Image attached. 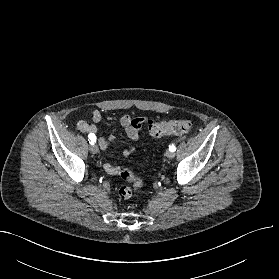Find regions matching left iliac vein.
<instances>
[{
	"instance_id": "4c4485c4",
	"label": "left iliac vein",
	"mask_w": 279,
	"mask_h": 279,
	"mask_svg": "<svg viewBox=\"0 0 279 279\" xmlns=\"http://www.w3.org/2000/svg\"><path fill=\"white\" fill-rule=\"evenodd\" d=\"M166 157L169 158V159H172L175 157V153L172 152V151H167L166 152Z\"/></svg>"
}]
</instances>
